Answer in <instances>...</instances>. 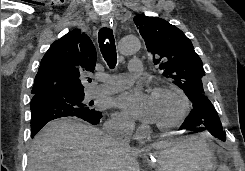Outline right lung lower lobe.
Wrapping results in <instances>:
<instances>
[{
	"instance_id": "98d812e1",
	"label": "right lung lower lobe",
	"mask_w": 245,
	"mask_h": 171,
	"mask_svg": "<svg viewBox=\"0 0 245 171\" xmlns=\"http://www.w3.org/2000/svg\"><path fill=\"white\" fill-rule=\"evenodd\" d=\"M57 95H38L31 100V137L49 121L61 117H78L91 124H98L102 118L99 111L86 112L83 107H76L69 99Z\"/></svg>"
}]
</instances>
